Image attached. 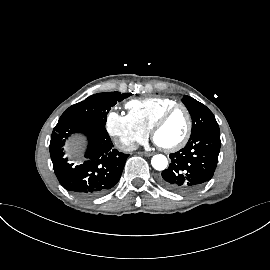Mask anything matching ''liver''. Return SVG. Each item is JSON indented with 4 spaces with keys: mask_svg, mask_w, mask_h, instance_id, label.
I'll list each match as a JSON object with an SVG mask.
<instances>
[{
    "mask_svg": "<svg viewBox=\"0 0 270 270\" xmlns=\"http://www.w3.org/2000/svg\"><path fill=\"white\" fill-rule=\"evenodd\" d=\"M82 139L80 137L70 138L66 145V150L69 152L71 156H80L82 153Z\"/></svg>",
    "mask_w": 270,
    "mask_h": 270,
    "instance_id": "liver-1",
    "label": "liver"
}]
</instances>
